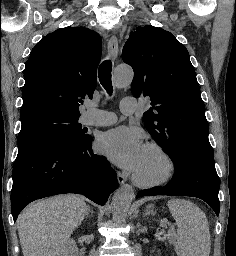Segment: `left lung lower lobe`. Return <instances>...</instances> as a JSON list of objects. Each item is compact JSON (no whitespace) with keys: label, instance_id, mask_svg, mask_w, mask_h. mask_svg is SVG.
Here are the masks:
<instances>
[{"label":"left lung lower lobe","instance_id":"left-lung-lower-lobe-1","mask_svg":"<svg viewBox=\"0 0 236 256\" xmlns=\"http://www.w3.org/2000/svg\"><path fill=\"white\" fill-rule=\"evenodd\" d=\"M175 173L170 183L164 187H154L142 190L136 196H192L204 200L219 214V177L217 175L214 157L189 153L173 162Z\"/></svg>","mask_w":236,"mask_h":256}]
</instances>
